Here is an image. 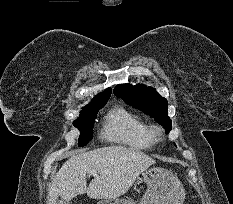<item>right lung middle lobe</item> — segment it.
<instances>
[{
	"mask_svg": "<svg viewBox=\"0 0 233 204\" xmlns=\"http://www.w3.org/2000/svg\"><path fill=\"white\" fill-rule=\"evenodd\" d=\"M107 101L94 104L87 109H83L79 118L74 121V126L80 130L78 139V146L83 147L92 139L94 119L97 115L98 109L102 108Z\"/></svg>",
	"mask_w": 233,
	"mask_h": 204,
	"instance_id": "obj_1",
	"label": "right lung middle lobe"
}]
</instances>
